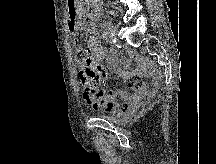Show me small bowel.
Segmentation results:
<instances>
[{"label":"small bowel","mask_w":216,"mask_h":164,"mask_svg":"<svg viewBox=\"0 0 216 164\" xmlns=\"http://www.w3.org/2000/svg\"><path fill=\"white\" fill-rule=\"evenodd\" d=\"M85 48L77 49V57L84 55L85 59L90 61L93 66L102 72L101 61L106 56V49L101 45L96 37L94 27L85 28ZM129 59L122 54L114 53L109 65L112 69L119 72L120 77L129 82V86L133 89V93L127 90L115 92L105 90L103 88H95L92 90L84 89L83 98L94 110L103 111L111 114L115 118H124L130 115L137 102L146 94L147 85L140 78L146 75V67L141 59H137V66L134 69H128ZM117 97L123 100L120 104Z\"/></svg>","instance_id":"1"}]
</instances>
